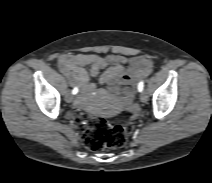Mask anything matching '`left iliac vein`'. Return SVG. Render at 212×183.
Here are the masks:
<instances>
[{
	"instance_id": "1",
	"label": "left iliac vein",
	"mask_w": 212,
	"mask_h": 183,
	"mask_svg": "<svg viewBox=\"0 0 212 183\" xmlns=\"http://www.w3.org/2000/svg\"><path fill=\"white\" fill-rule=\"evenodd\" d=\"M140 100L142 103H146L148 100V94L146 91L141 92L140 94Z\"/></svg>"
}]
</instances>
